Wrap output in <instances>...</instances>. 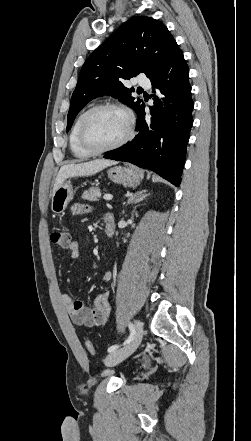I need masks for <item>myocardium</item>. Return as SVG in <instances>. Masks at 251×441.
<instances>
[{
	"label": "myocardium",
	"mask_w": 251,
	"mask_h": 441,
	"mask_svg": "<svg viewBox=\"0 0 251 441\" xmlns=\"http://www.w3.org/2000/svg\"><path fill=\"white\" fill-rule=\"evenodd\" d=\"M101 109H115V110L122 112L126 117L127 130H126L125 135L120 140L115 142L114 144L106 146V147H102V148H95L87 142L86 136H85V128H86V124H87L89 117L94 112L101 110ZM133 134H134V117H133L132 112L128 108H126L125 106H123L121 104H118L115 102H103V103H99L97 105H94L93 107L88 109L86 112H84V114L81 118L80 124H79L78 142H79L80 146L86 152H88L92 155H98V154H103V153L113 151V150H116V149L122 147L129 140H131V138L133 137Z\"/></svg>",
	"instance_id": "f54148a6"
}]
</instances>
